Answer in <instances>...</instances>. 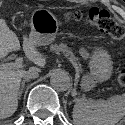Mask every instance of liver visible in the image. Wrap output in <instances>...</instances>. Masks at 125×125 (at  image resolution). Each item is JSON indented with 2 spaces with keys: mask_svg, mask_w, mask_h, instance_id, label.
I'll return each instance as SVG.
<instances>
[{
  "mask_svg": "<svg viewBox=\"0 0 125 125\" xmlns=\"http://www.w3.org/2000/svg\"><path fill=\"white\" fill-rule=\"evenodd\" d=\"M19 49L18 37L9 29L5 20L0 19V60ZM23 50L26 56L39 67L45 66L46 58L36 50V45L30 36L23 35ZM29 70L39 71L36 67H31ZM26 72L24 69L0 68V119L10 117L16 112L20 83Z\"/></svg>",
  "mask_w": 125,
  "mask_h": 125,
  "instance_id": "obj_1",
  "label": "liver"
}]
</instances>
